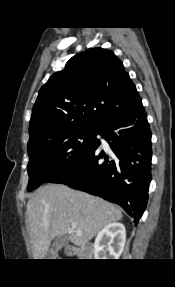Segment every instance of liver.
Returning <instances> with one entry per match:
<instances>
[{
  "label": "liver",
  "instance_id": "obj_1",
  "mask_svg": "<svg viewBox=\"0 0 175 287\" xmlns=\"http://www.w3.org/2000/svg\"><path fill=\"white\" fill-rule=\"evenodd\" d=\"M27 215L34 259H44L58 236L69 234L71 243L84 247L103 227L122 218L113 204L62 184L39 188L27 203Z\"/></svg>",
  "mask_w": 175,
  "mask_h": 287
}]
</instances>
